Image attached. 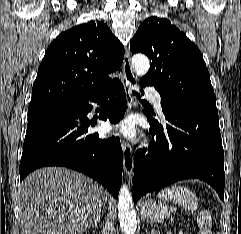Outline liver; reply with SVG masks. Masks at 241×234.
<instances>
[{
	"label": "liver",
	"mask_w": 241,
	"mask_h": 234,
	"mask_svg": "<svg viewBox=\"0 0 241 234\" xmlns=\"http://www.w3.org/2000/svg\"><path fill=\"white\" fill-rule=\"evenodd\" d=\"M106 194L81 173L38 169L19 188L21 234H83L101 212Z\"/></svg>",
	"instance_id": "obj_1"
}]
</instances>
